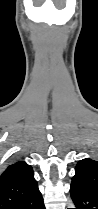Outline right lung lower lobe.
I'll return each mask as SVG.
<instances>
[{
  "instance_id": "obj_1",
  "label": "right lung lower lobe",
  "mask_w": 98,
  "mask_h": 209,
  "mask_svg": "<svg viewBox=\"0 0 98 209\" xmlns=\"http://www.w3.org/2000/svg\"><path fill=\"white\" fill-rule=\"evenodd\" d=\"M12 209H45L39 189L35 190L26 199L12 207Z\"/></svg>"
}]
</instances>
